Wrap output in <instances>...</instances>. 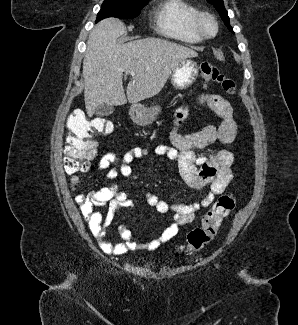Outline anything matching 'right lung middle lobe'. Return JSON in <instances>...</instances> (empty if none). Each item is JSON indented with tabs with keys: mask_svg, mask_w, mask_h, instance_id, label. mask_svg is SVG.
I'll return each instance as SVG.
<instances>
[{
	"mask_svg": "<svg viewBox=\"0 0 298 325\" xmlns=\"http://www.w3.org/2000/svg\"><path fill=\"white\" fill-rule=\"evenodd\" d=\"M145 4L146 3L127 0H105L97 15L96 22L106 17H118L123 19L137 17Z\"/></svg>",
	"mask_w": 298,
	"mask_h": 325,
	"instance_id": "1",
	"label": "right lung middle lobe"
}]
</instances>
